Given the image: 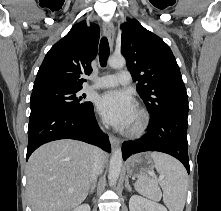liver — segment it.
Masks as SVG:
<instances>
[{
    "mask_svg": "<svg viewBox=\"0 0 221 211\" xmlns=\"http://www.w3.org/2000/svg\"><path fill=\"white\" fill-rule=\"evenodd\" d=\"M107 160L105 153L101 163ZM94 147L76 140H57L33 152L27 164V194L32 211H71L92 186Z\"/></svg>",
    "mask_w": 221,
    "mask_h": 211,
    "instance_id": "1",
    "label": "liver"
}]
</instances>
